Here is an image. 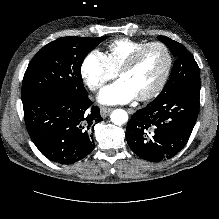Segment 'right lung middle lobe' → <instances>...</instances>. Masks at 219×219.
<instances>
[{
	"instance_id": "right-lung-middle-lobe-1",
	"label": "right lung middle lobe",
	"mask_w": 219,
	"mask_h": 219,
	"mask_svg": "<svg viewBox=\"0 0 219 219\" xmlns=\"http://www.w3.org/2000/svg\"><path fill=\"white\" fill-rule=\"evenodd\" d=\"M107 38L62 37L44 46L31 60L22 84V102L54 92L87 95L81 65L89 51Z\"/></svg>"
}]
</instances>
